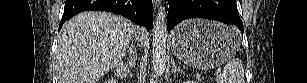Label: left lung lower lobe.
I'll list each match as a JSON object with an SVG mask.
<instances>
[{
    "label": "left lung lower lobe",
    "mask_w": 307,
    "mask_h": 83,
    "mask_svg": "<svg viewBox=\"0 0 307 83\" xmlns=\"http://www.w3.org/2000/svg\"><path fill=\"white\" fill-rule=\"evenodd\" d=\"M189 18H206L225 24H235L243 33L236 0H170L168 32L179 22Z\"/></svg>",
    "instance_id": "obj_1"
}]
</instances>
